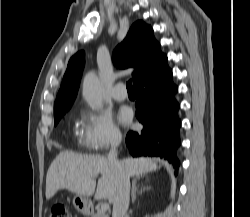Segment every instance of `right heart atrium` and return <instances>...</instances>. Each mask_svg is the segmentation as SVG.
Listing matches in <instances>:
<instances>
[{
  "mask_svg": "<svg viewBox=\"0 0 250 217\" xmlns=\"http://www.w3.org/2000/svg\"><path fill=\"white\" fill-rule=\"evenodd\" d=\"M80 119L79 140L86 149L99 152L119 143L121 133L109 113L82 109Z\"/></svg>",
  "mask_w": 250,
  "mask_h": 217,
  "instance_id": "1",
  "label": "right heart atrium"
}]
</instances>
